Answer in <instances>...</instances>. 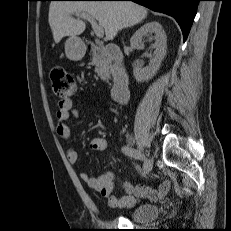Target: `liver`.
Segmentation results:
<instances>
[{
    "instance_id": "liver-1",
    "label": "liver",
    "mask_w": 231,
    "mask_h": 231,
    "mask_svg": "<svg viewBox=\"0 0 231 231\" xmlns=\"http://www.w3.org/2000/svg\"><path fill=\"white\" fill-rule=\"evenodd\" d=\"M89 14L104 28L107 40L132 27L147 16V9L130 1H52L49 6V25L55 43L65 36H77L84 32L86 24L72 15Z\"/></svg>"
}]
</instances>
